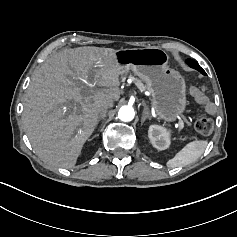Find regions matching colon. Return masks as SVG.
I'll list each match as a JSON object with an SVG mask.
<instances>
[{"label": "colon", "instance_id": "5ec220e1", "mask_svg": "<svg viewBox=\"0 0 237 237\" xmlns=\"http://www.w3.org/2000/svg\"><path fill=\"white\" fill-rule=\"evenodd\" d=\"M190 92L195 100L202 104L207 111H213L215 109V104L207 99L202 89L191 87ZM214 126L215 123L213 119L207 116L197 118L194 124L195 130L202 135L210 134L213 131Z\"/></svg>", "mask_w": 237, "mask_h": 237}]
</instances>
